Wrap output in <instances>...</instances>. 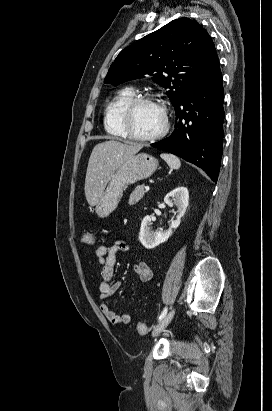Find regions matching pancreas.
<instances>
[{
	"mask_svg": "<svg viewBox=\"0 0 272 411\" xmlns=\"http://www.w3.org/2000/svg\"><path fill=\"white\" fill-rule=\"evenodd\" d=\"M145 186L144 185H139L135 188V190L131 193L128 204L129 205H134L137 202H139L141 200V198H143L144 194H145V190H144Z\"/></svg>",
	"mask_w": 272,
	"mask_h": 411,
	"instance_id": "cf45deb5",
	"label": "pancreas"
}]
</instances>
